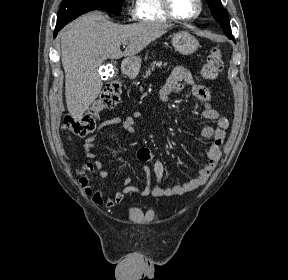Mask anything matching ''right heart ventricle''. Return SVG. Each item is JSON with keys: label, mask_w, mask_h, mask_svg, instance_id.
<instances>
[{"label": "right heart ventricle", "mask_w": 288, "mask_h": 280, "mask_svg": "<svg viewBox=\"0 0 288 280\" xmlns=\"http://www.w3.org/2000/svg\"><path fill=\"white\" fill-rule=\"evenodd\" d=\"M136 18L142 22L165 23L170 19L164 13L160 0H137Z\"/></svg>", "instance_id": "right-heart-ventricle-1"}]
</instances>
